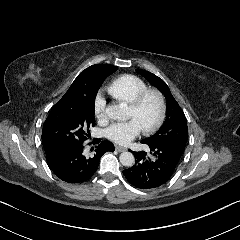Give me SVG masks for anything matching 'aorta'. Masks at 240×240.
I'll list each match as a JSON object with an SVG mask.
<instances>
[{
  "mask_svg": "<svg viewBox=\"0 0 240 240\" xmlns=\"http://www.w3.org/2000/svg\"><path fill=\"white\" fill-rule=\"evenodd\" d=\"M107 113L111 118L119 120L121 119L123 111L119 106L113 105L108 107ZM120 163L125 167H132L135 164V157L130 152H123L120 155Z\"/></svg>",
  "mask_w": 240,
  "mask_h": 240,
  "instance_id": "obj_1",
  "label": "aorta"
}]
</instances>
